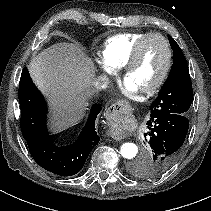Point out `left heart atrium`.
<instances>
[{
    "mask_svg": "<svg viewBox=\"0 0 211 211\" xmlns=\"http://www.w3.org/2000/svg\"><path fill=\"white\" fill-rule=\"evenodd\" d=\"M138 91V88L134 84H132L128 79L125 81V92L127 94H135Z\"/></svg>",
    "mask_w": 211,
    "mask_h": 211,
    "instance_id": "obj_1",
    "label": "left heart atrium"
}]
</instances>
